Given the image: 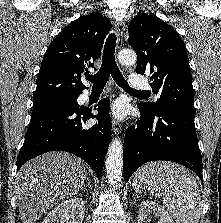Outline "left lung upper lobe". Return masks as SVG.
<instances>
[{
	"mask_svg": "<svg viewBox=\"0 0 221 223\" xmlns=\"http://www.w3.org/2000/svg\"><path fill=\"white\" fill-rule=\"evenodd\" d=\"M129 44L138 62L136 72L150 73L156 103H140L145 111L157 114L178 109L196 114L192 75L183 40L172 26L154 14H138L129 25Z\"/></svg>",
	"mask_w": 221,
	"mask_h": 223,
	"instance_id": "5c2ea615",
	"label": "left lung upper lobe"
}]
</instances>
